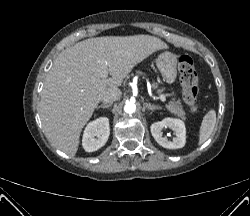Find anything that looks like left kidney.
I'll use <instances>...</instances> for the list:
<instances>
[{
    "label": "left kidney",
    "instance_id": "obj_1",
    "mask_svg": "<svg viewBox=\"0 0 250 216\" xmlns=\"http://www.w3.org/2000/svg\"><path fill=\"white\" fill-rule=\"evenodd\" d=\"M170 128L176 137L173 141H169L166 137L162 136V129ZM151 134L156 142L167 149L182 148L186 142V128L185 124L180 119L165 118L162 121L155 122L151 125Z\"/></svg>",
    "mask_w": 250,
    "mask_h": 216
}]
</instances>
